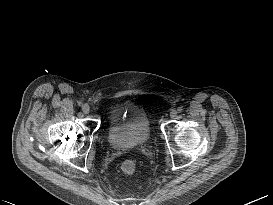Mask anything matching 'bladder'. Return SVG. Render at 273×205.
I'll use <instances>...</instances> for the list:
<instances>
[{"mask_svg": "<svg viewBox=\"0 0 273 205\" xmlns=\"http://www.w3.org/2000/svg\"><path fill=\"white\" fill-rule=\"evenodd\" d=\"M151 136L148 113L137 102L115 105L108 114L107 141L116 150H131L146 144Z\"/></svg>", "mask_w": 273, "mask_h": 205, "instance_id": "obj_1", "label": "bladder"}]
</instances>
